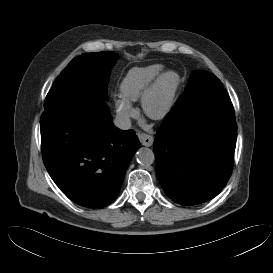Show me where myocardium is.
<instances>
[{
  "mask_svg": "<svg viewBox=\"0 0 273 273\" xmlns=\"http://www.w3.org/2000/svg\"><path fill=\"white\" fill-rule=\"evenodd\" d=\"M178 85L176 73L158 75L142 96L141 105L145 115L154 120L165 117L173 107Z\"/></svg>",
  "mask_w": 273,
  "mask_h": 273,
  "instance_id": "myocardium-1",
  "label": "myocardium"
}]
</instances>
